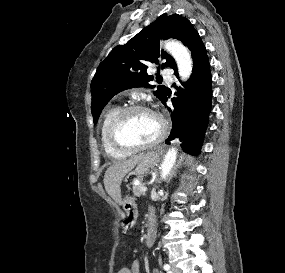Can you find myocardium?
<instances>
[{
	"label": "myocardium",
	"mask_w": 285,
	"mask_h": 273,
	"mask_svg": "<svg viewBox=\"0 0 285 273\" xmlns=\"http://www.w3.org/2000/svg\"><path fill=\"white\" fill-rule=\"evenodd\" d=\"M139 111L148 112L156 118V120L158 121L160 125L159 134L157 135L155 139L147 143L138 144V145L126 144L122 142L119 137L120 127L122 123L124 122L125 118L129 114L134 113V112H139ZM167 132H168L167 122L159 112L145 105L132 104V105H128V106L121 108L117 112V114L114 116V118L112 119L110 123L109 129H108V138H109V142L111 143V145L117 150L126 152V153H131V152H137L140 150L148 149V148H151L157 145L166 137Z\"/></svg>",
	"instance_id": "obj_1"
}]
</instances>
